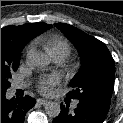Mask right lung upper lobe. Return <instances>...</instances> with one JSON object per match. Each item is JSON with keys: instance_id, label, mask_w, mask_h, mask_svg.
Listing matches in <instances>:
<instances>
[{"instance_id": "right-lung-upper-lobe-1", "label": "right lung upper lobe", "mask_w": 123, "mask_h": 123, "mask_svg": "<svg viewBox=\"0 0 123 123\" xmlns=\"http://www.w3.org/2000/svg\"><path fill=\"white\" fill-rule=\"evenodd\" d=\"M46 23H28L21 26H6L1 29V61L19 62L25 45L40 33L50 29Z\"/></svg>"}]
</instances>
